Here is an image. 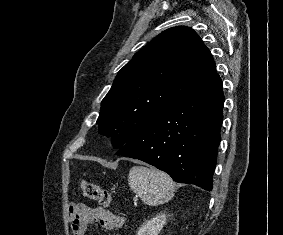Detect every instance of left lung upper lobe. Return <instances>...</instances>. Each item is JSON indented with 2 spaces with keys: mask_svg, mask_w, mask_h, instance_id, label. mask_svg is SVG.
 <instances>
[{
  "mask_svg": "<svg viewBox=\"0 0 283 235\" xmlns=\"http://www.w3.org/2000/svg\"><path fill=\"white\" fill-rule=\"evenodd\" d=\"M215 74L211 53L193 29L163 31L118 72L101 103L99 133L122 147Z\"/></svg>",
  "mask_w": 283,
  "mask_h": 235,
  "instance_id": "left-lung-upper-lobe-1",
  "label": "left lung upper lobe"
}]
</instances>
